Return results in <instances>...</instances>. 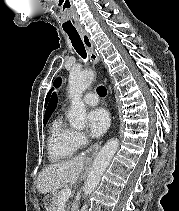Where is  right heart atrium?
Returning a JSON list of instances; mask_svg holds the SVG:
<instances>
[{
  "mask_svg": "<svg viewBox=\"0 0 179 211\" xmlns=\"http://www.w3.org/2000/svg\"><path fill=\"white\" fill-rule=\"evenodd\" d=\"M74 141L77 146H82L87 142V137L83 132L74 131Z\"/></svg>",
  "mask_w": 179,
  "mask_h": 211,
  "instance_id": "obj_1",
  "label": "right heart atrium"
}]
</instances>
